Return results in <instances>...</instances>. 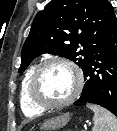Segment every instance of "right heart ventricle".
Returning a JSON list of instances; mask_svg holds the SVG:
<instances>
[{"instance_id":"e07e8e85","label":"right heart ventricle","mask_w":117,"mask_h":131,"mask_svg":"<svg viewBox=\"0 0 117 131\" xmlns=\"http://www.w3.org/2000/svg\"><path fill=\"white\" fill-rule=\"evenodd\" d=\"M33 70L34 68H30L25 73L21 81V86H20V94H19L20 105H21L22 111L27 116H37V115H40L44 111L43 109H40L37 106H35L29 97L28 85H29V80H30Z\"/></svg>"}]
</instances>
